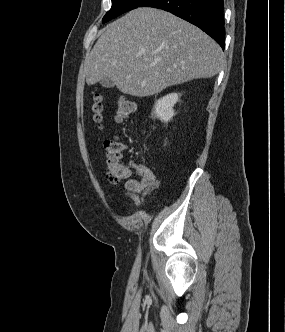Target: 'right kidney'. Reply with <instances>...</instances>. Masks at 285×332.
I'll list each match as a JSON object with an SVG mask.
<instances>
[{"mask_svg":"<svg viewBox=\"0 0 285 332\" xmlns=\"http://www.w3.org/2000/svg\"><path fill=\"white\" fill-rule=\"evenodd\" d=\"M179 100L178 93H171L156 101L154 114L164 122H168L174 116L173 107Z\"/></svg>","mask_w":285,"mask_h":332,"instance_id":"1","label":"right kidney"}]
</instances>
